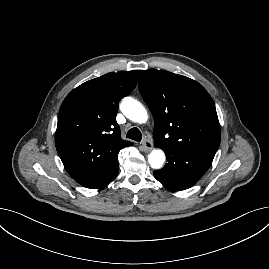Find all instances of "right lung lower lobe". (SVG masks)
<instances>
[{"label": "right lung lower lobe", "instance_id": "obj_1", "mask_svg": "<svg viewBox=\"0 0 269 269\" xmlns=\"http://www.w3.org/2000/svg\"><path fill=\"white\" fill-rule=\"evenodd\" d=\"M118 172H119V163L117 161L100 179H98L93 184L87 186V188L98 189V188L105 187L116 178V176L118 175Z\"/></svg>", "mask_w": 269, "mask_h": 269}]
</instances>
